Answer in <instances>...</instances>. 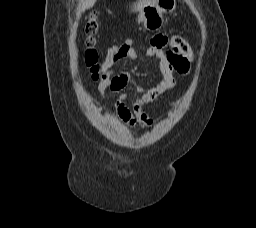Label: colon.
<instances>
[{
    "instance_id": "1",
    "label": "colon",
    "mask_w": 256,
    "mask_h": 228,
    "mask_svg": "<svg viewBox=\"0 0 256 228\" xmlns=\"http://www.w3.org/2000/svg\"><path fill=\"white\" fill-rule=\"evenodd\" d=\"M100 32V23L98 20V15L92 13L86 24H85V37L84 45L85 51L83 54V63L88 68L91 77L93 79H99L103 75V63L98 61V53L96 50V45L98 41V36ZM128 44V43H125ZM113 46L111 47L107 54L105 60L114 61L117 55L119 54L122 47L125 45ZM130 45V44H128ZM170 45L175 49L182 57L187 60H192L193 52L189 43L180 36H173L170 38Z\"/></svg>"
}]
</instances>
